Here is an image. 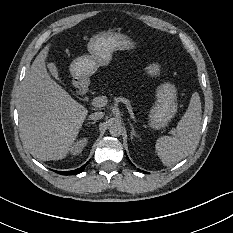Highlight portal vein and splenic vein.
<instances>
[{"label": "portal vein and splenic vein", "instance_id": "portal-vein-and-splenic-vein-1", "mask_svg": "<svg viewBox=\"0 0 233 233\" xmlns=\"http://www.w3.org/2000/svg\"><path fill=\"white\" fill-rule=\"evenodd\" d=\"M109 98L106 95H100L92 101L95 107H104L108 104Z\"/></svg>", "mask_w": 233, "mask_h": 233}]
</instances>
